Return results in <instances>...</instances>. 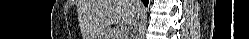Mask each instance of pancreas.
Here are the masks:
<instances>
[{
  "label": "pancreas",
  "mask_w": 249,
  "mask_h": 39,
  "mask_svg": "<svg viewBox=\"0 0 249 39\" xmlns=\"http://www.w3.org/2000/svg\"><path fill=\"white\" fill-rule=\"evenodd\" d=\"M110 36L113 39H118V37H116V33L114 31L111 32Z\"/></svg>",
  "instance_id": "cf45deb5"
}]
</instances>
